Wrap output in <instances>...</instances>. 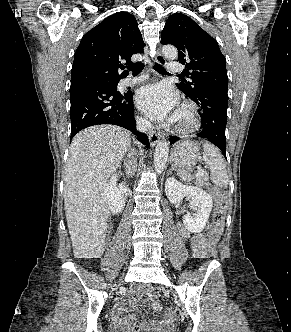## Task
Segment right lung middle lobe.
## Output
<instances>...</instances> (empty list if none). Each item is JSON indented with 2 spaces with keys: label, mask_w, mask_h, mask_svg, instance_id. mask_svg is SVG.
<instances>
[{
  "label": "right lung middle lobe",
  "mask_w": 291,
  "mask_h": 332,
  "mask_svg": "<svg viewBox=\"0 0 291 332\" xmlns=\"http://www.w3.org/2000/svg\"><path fill=\"white\" fill-rule=\"evenodd\" d=\"M108 83L118 85V81L117 82H108Z\"/></svg>",
  "instance_id": "right-lung-middle-lobe-1"
}]
</instances>
